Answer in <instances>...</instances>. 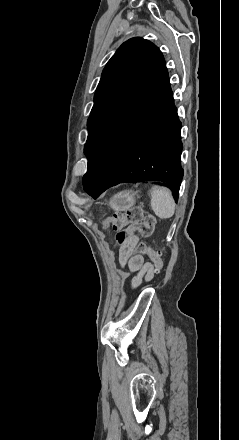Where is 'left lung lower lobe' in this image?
Here are the masks:
<instances>
[{
    "instance_id": "left-lung-lower-lobe-1",
    "label": "left lung lower lobe",
    "mask_w": 239,
    "mask_h": 440,
    "mask_svg": "<svg viewBox=\"0 0 239 440\" xmlns=\"http://www.w3.org/2000/svg\"><path fill=\"white\" fill-rule=\"evenodd\" d=\"M181 122L165 67L137 103L107 132L88 162L84 190L97 198L119 183L160 180L178 200Z\"/></svg>"
}]
</instances>
